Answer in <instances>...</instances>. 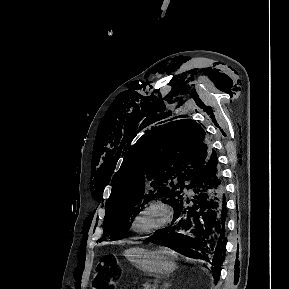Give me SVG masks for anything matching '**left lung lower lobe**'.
I'll return each instance as SVG.
<instances>
[{
	"mask_svg": "<svg viewBox=\"0 0 289 289\" xmlns=\"http://www.w3.org/2000/svg\"><path fill=\"white\" fill-rule=\"evenodd\" d=\"M170 227L158 230L149 241L187 257L208 261L218 281L225 238V187L214 153L173 204Z\"/></svg>",
	"mask_w": 289,
	"mask_h": 289,
	"instance_id": "obj_1",
	"label": "left lung lower lobe"
}]
</instances>
